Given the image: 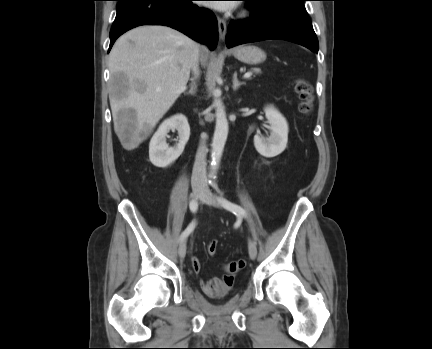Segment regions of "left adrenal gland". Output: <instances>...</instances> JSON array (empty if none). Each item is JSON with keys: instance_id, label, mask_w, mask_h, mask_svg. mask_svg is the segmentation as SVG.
I'll list each match as a JSON object with an SVG mask.
<instances>
[{"instance_id": "1", "label": "left adrenal gland", "mask_w": 432, "mask_h": 349, "mask_svg": "<svg viewBox=\"0 0 432 349\" xmlns=\"http://www.w3.org/2000/svg\"><path fill=\"white\" fill-rule=\"evenodd\" d=\"M241 85H245L244 82H239L237 79V72L234 73L233 75V90L236 91Z\"/></svg>"}]
</instances>
